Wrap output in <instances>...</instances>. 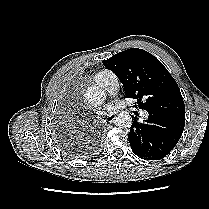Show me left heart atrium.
<instances>
[{
  "label": "left heart atrium",
  "mask_w": 209,
  "mask_h": 209,
  "mask_svg": "<svg viewBox=\"0 0 209 209\" xmlns=\"http://www.w3.org/2000/svg\"><path fill=\"white\" fill-rule=\"evenodd\" d=\"M116 106L114 104L108 105L105 110L104 113H111L115 110Z\"/></svg>",
  "instance_id": "1"
}]
</instances>
